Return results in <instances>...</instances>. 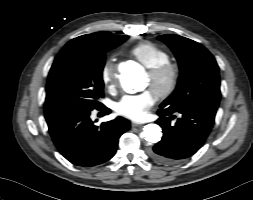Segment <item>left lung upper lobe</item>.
<instances>
[{
	"label": "left lung upper lobe",
	"instance_id": "1",
	"mask_svg": "<svg viewBox=\"0 0 253 200\" xmlns=\"http://www.w3.org/2000/svg\"><path fill=\"white\" fill-rule=\"evenodd\" d=\"M158 39L171 48L180 68L178 85L160 108L170 112L201 107L217 110L220 78L212 54L199 43L178 35L165 34Z\"/></svg>",
	"mask_w": 253,
	"mask_h": 200
}]
</instances>
